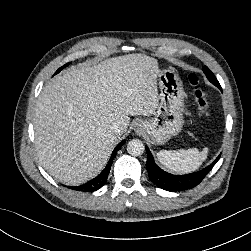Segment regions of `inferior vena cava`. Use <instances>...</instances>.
<instances>
[{
  "label": "inferior vena cava",
  "instance_id": "602c4592",
  "mask_svg": "<svg viewBox=\"0 0 251 251\" xmlns=\"http://www.w3.org/2000/svg\"><path fill=\"white\" fill-rule=\"evenodd\" d=\"M110 131L117 135H120L122 133V128L119 124L114 123L111 127H110Z\"/></svg>",
  "mask_w": 251,
  "mask_h": 251
}]
</instances>
